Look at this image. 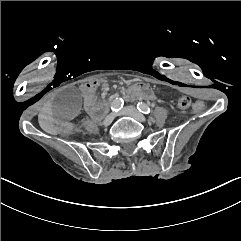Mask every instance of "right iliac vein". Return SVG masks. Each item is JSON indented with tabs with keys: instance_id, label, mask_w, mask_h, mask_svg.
I'll list each match as a JSON object with an SVG mask.
<instances>
[{
	"instance_id": "63e3f726",
	"label": "right iliac vein",
	"mask_w": 241,
	"mask_h": 241,
	"mask_svg": "<svg viewBox=\"0 0 241 241\" xmlns=\"http://www.w3.org/2000/svg\"><path fill=\"white\" fill-rule=\"evenodd\" d=\"M114 118H115V114L114 113H111V114L107 115L105 117L104 121H103V125L104 126H109L112 123Z\"/></svg>"
}]
</instances>
